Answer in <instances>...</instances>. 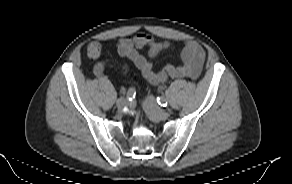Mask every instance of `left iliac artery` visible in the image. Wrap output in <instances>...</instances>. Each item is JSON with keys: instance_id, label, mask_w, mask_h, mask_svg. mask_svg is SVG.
Masks as SVG:
<instances>
[{"instance_id": "obj_1", "label": "left iliac artery", "mask_w": 292, "mask_h": 184, "mask_svg": "<svg viewBox=\"0 0 292 184\" xmlns=\"http://www.w3.org/2000/svg\"><path fill=\"white\" fill-rule=\"evenodd\" d=\"M157 102L159 105L164 106V107H166L168 104L167 99L163 96L157 97Z\"/></svg>"}]
</instances>
